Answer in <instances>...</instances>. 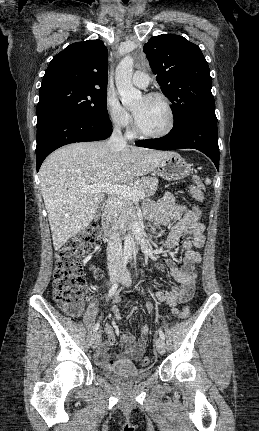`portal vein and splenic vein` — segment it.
<instances>
[{"label": "portal vein and splenic vein", "instance_id": "1", "mask_svg": "<svg viewBox=\"0 0 259 431\" xmlns=\"http://www.w3.org/2000/svg\"><path fill=\"white\" fill-rule=\"evenodd\" d=\"M84 193H99L105 192L108 194L121 195L123 197H129L132 200H139L145 197V193L134 188L125 185H109V184H92L82 189Z\"/></svg>", "mask_w": 259, "mask_h": 431}]
</instances>
